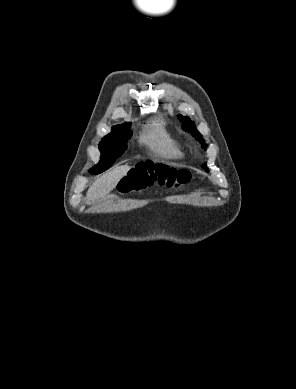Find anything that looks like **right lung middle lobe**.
<instances>
[{
  "mask_svg": "<svg viewBox=\"0 0 296 389\" xmlns=\"http://www.w3.org/2000/svg\"><path fill=\"white\" fill-rule=\"evenodd\" d=\"M129 125L130 123L114 126L112 132L102 139V142L99 143L101 160L92 170L93 173L98 174L107 170L123 154L127 148L126 143L132 136Z\"/></svg>",
  "mask_w": 296,
  "mask_h": 389,
  "instance_id": "right-lung-middle-lobe-1",
  "label": "right lung middle lobe"
}]
</instances>
